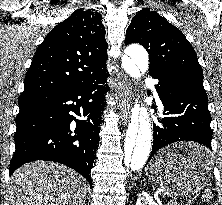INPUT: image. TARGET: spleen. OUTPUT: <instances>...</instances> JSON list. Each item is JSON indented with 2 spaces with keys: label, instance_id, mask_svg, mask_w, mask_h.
Returning <instances> with one entry per match:
<instances>
[{
  "label": "spleen",
  "instance_id": "1",
  "mask_svg": "<svg viewBox=\"0 0 222 205\" xmlns=\"http://www.w3.org/2000/svg\"><path fill=\"white\" fill-rule=\"evenodd\" d=\"M204 198H206V200L210 199V194H209V190L206 191L205 196H203Z\"/></svg>",
  "mask_w": 222,
  "mask_h": 205
}]
</instances>
